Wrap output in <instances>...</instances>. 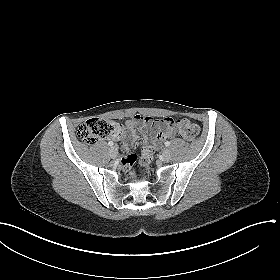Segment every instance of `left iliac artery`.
<instances>
[{"label":"left iliac artery","mask_w":280,"mask_h":280,"mask_svg":"<svg viewBox=\"0 0 280 280\" xmlns=\"http://www.w3.org/2000/svg\"><path fill=\"white\" fill-rule=\"evenodd\" d=\"M165 146H166V147L170 146V142H169V141H166V142H165Z\"/></svg>","instance_id":"left-iliac-artery-1"}]
</instances>
